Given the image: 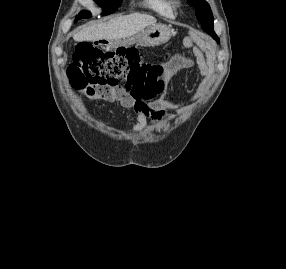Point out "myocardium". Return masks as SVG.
<instances>
[{
    "mask_svg": "<svg viewBox=\"0 0 286 269\" xmlns=\"http://www.w3.org/2000/svg\"><path fill=\"white\" fill-rule=\"evenodd\" d=\"M173 4L178 5V4H179V1L174 0V1H173Z\"/></svg>",
    "mask_w": 286,
    "mask_h": 269,
    "instance_id": "obj_1",
    "label": "myocardium"
}]
</instances>
